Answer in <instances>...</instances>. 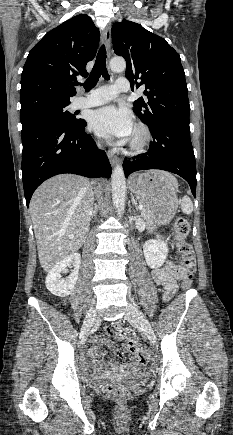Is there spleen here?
Instances as JSON below:
<instances>
[{"label": "spleen", "instance_id": "1", "mask_svg": "<svg viewBox=\"0 0 233 435\" xmlns=\"http://www.w3.org/2000/svg\"><path fill=\"white\" fill-rule=\"evenodd\" d=\"M181 209L184 214H191L193 211V203L188 196H184L181 200Z\"/></svg>", "mask_w": 233, "mask_h": 435}]
</instances>
